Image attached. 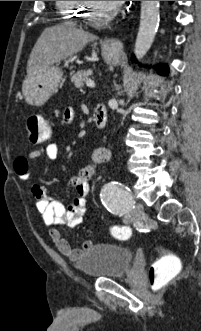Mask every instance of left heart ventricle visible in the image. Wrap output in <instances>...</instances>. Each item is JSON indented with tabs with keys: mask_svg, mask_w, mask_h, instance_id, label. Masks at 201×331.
Returning a JSON list of instances; mask_svg holds the SVG:
<instances>
[{
	"mask_svg": "<svg viewBox=\"0 0 201 331\" xmlns=\"http://www.w3.org/2000/svg\"><path fill=\"white\" fill-rule=\"evenodd\" d=\"M113 7L105 1H92V6L90 8V14L94 18L102 17L104 14L111 11Z\"/></svg>",
	"mask_w": 201,
	"mask_h": 331,
	"instance_id": "1",
	"label": "left heart ventricle"
}]
</instances>
